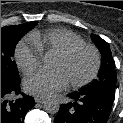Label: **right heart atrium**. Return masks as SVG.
I'll list each match as a JSON object with an SVG mask.
<instances>
[{"mask_svg": "<svg viewBox=\"0 0 123 123\" xmlns=\"http://www.w3.org/2000/svg\"><path fill=\"white\" fill-rule=\"evenodd\" d=\"M41 51L29 37L22 39L15 48V61L24 73L33 71L40 63Z\"/></svg>", "mask_w": 123, "mask_h": 123, "instance_id": "obj_1", "label": "right heart atrium"}]
</instances>
